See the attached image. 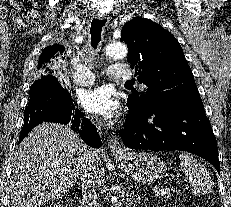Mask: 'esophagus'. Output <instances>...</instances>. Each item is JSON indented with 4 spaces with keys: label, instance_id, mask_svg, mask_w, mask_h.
<instances>
[{
    "label": "esophagus",
    "instance_id": "1",
    "mask_svg": "<svg viewBox=\"0 0 231 207\" xmlns=\"http://www.w3.org/2000/svg\"><path fill=\"white\" fill-rule=\"evenodd\" d=\"M98 18L108 19L109 16L106 13H100L98 14ZM108 146L110 148V151L115 154L123 153L125 151V147L118 141V139L114 135L109 137Z\"/></svg>",
    "mask_w": 231,
    "mask_h": 207
}]
</instances>
